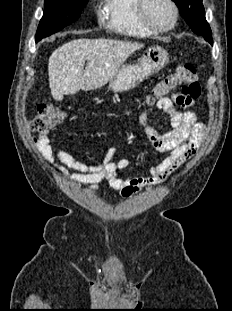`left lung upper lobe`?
Here are the masks:
<instances>
[{"mask_svg": "<svg viewBox=\"0 0 232 311\" xmlns=\"http://www.w3.org/2000/svg\"><path fill=\"white\" fill-rule=\"evenodd\" d=\"M190 28L199 35H210L202 0H173Z\"/></svg>", "mask_w": 232, "mask_h": 311, "instance_id": "1", "label": "left lung upper lobe"}]
</instances>
